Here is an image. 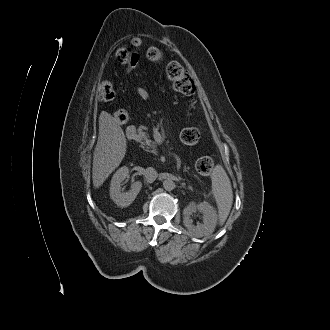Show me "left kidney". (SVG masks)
<instances>
[{
	"label": "left kidney",
	"mask_w": 330,
	"mask_h": 330,
	"mask_svg": "<svg viewBox=\"0 0 330 330\" xmlns=\"http://www.w3.org/2000/svg\"><path fill=\"white\" fill-rule=\"evenodd\" d=\"M197 210L203 214V223L194 226L191 215ZM183 224L195 237L208 236L214 232L217 225V213L208 202L204 201L197 205L190 204L183 210Z\"/></svg>",
	"instance_id": "5707ae66"
}]
</instances>
